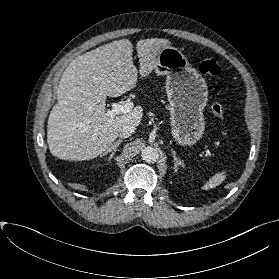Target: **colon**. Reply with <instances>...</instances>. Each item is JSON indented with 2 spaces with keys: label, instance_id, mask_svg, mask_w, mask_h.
<instances>
[{
  "label": "colon",
  "instance_id": "obj_1",
  "mask_svg": "<svg viewBox=\"0 0 279 279\" xmlns=\"http://www.w3.org/2000/svg\"><path fill=\"white\" fill-rule=\"evenodd\" d=\"M199 70L201 73L217 78L221 74V67L215 57L208 56L202 60L199 66ZM215 92L221 91V85L216 83L213 87ZM211 113L218 120L222 121L224 119V107L221 102L214 101L211 105Z\"/></svg>",
  "mask_w": 279,
  "mask_h": 279
}]
</instances>
